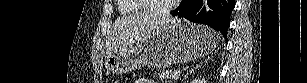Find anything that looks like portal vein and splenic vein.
<instances>
[{
    "mask_svg": "<svg viewBox=\"0 0 307 83\" xmlns=\"http://www.w3.org/2000/svg\"><path fill=\"white\" fill-rule=\"evenodd\" d=\"M179 76H180V74H179L178 72H176V73H174V74L172 75V78H173V79H178Z\"/></svg>",
    "mask_w": 307,
    "mask_h": 83,
    "instance_id": "obj_1",
    "label": "portal vein and splenic vein"
}]
</instances>
